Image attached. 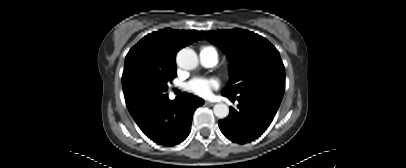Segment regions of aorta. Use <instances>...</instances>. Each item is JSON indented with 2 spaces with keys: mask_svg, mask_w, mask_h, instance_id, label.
<instances>
[{
  "mask_svg": "<svg viewBox=\"0 0 406 168\" xmlns=\"http://www.w3.org/2000/svg\"><path fill=\"white\" fill-rule=\"evenodd\" d=\"M177 64L185 70H192L198 65V57L194 50L190 48L181 49L176 56ZM213 111L216 117L223 119L229 114V107L224 103L215 104Z\"/></svg>",
  "mask_w": 406,
  "mask_h": 168,
  "instance_id": "aorta-1",
  "label": "aorta"
}]
</instances>
